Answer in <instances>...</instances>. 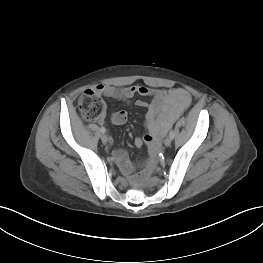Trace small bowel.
Here are the masks:
<instances>
[{"instance_id":"obj_1","label":"small bowel","mask_w":263,"mask_h":263,"mask_svg":"<svg viewBox=\"0 0 263 263\" xmlns=\"http://www.w3.org/2000/svg\"><path fill=\"white\" fill-rule=\"evenodd\" d=\"M94 91L99 95L122 101H130L137 95L150 98L149 102L144 100L136 101L137 106L147 109L145 117L146 134L134 140L136 147H141L144 143L154 147L191 104L190 94L182 88L162 90L143 85L117 88L101 84L96 86ZM111 120L116 125H123L127 121V112L118 110L112 114ZM114 156L122 172L132 175L134 165L129 160L127 152L118 149L114 151Z\"/></svg>"}]
</instances>
